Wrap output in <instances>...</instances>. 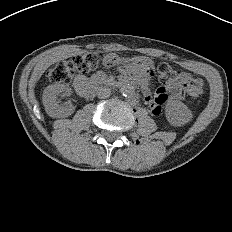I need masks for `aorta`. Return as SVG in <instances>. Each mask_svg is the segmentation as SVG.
I'll use <instances>...</instances> for the list:
<instances>
[{"instance_id":"762f6f07","label":"aorta","mask_w":232,"mask_h":232,"mask_svg":"<svg viewBox=\"0 0 232 232\" xmlns=\"http://www.w3.org/2000/svg\"><path fill=\"white\" fill-rule=\"evenodd\" d=\"M120 93L125 97H132L135 94V88L131 84H126L120 88Z\"/></svg>"}]
</instances>
